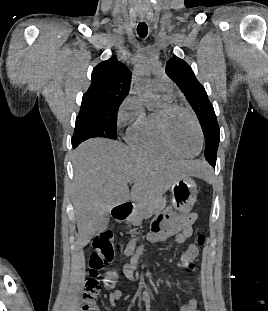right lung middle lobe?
<instances>
[{"label": "right lung middle lobe", "mask_w": 268, "mask_h": 311, "mask_svg": "<svg viewBox=\"0 0 268 311\" xmlns=\"http://www.w3.org/2000/svg\"><path fill=\"white\" fill-rule=\"evenodd\" d=\"M121 102L83 98L76 118L72 141H85L93 137L116 140L117 113Z\"/></svg>", "instance_id": "obj_1"}]
</instances>
